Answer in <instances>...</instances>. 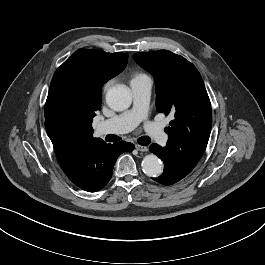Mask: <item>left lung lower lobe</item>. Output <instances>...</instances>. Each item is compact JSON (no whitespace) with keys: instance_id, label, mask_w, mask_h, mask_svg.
<instances>
[{"instance_id":"1","label":"left lung lower lobe","mask_w":265,"mask_h":265,"mask_svg":"<svg viewBox=\"0 0 265 265\" xmlns=\"http://www.w3.org/2000/svg\"><path fill=\"white\" fill-rule=\"evenodd\" d=\"M149 149L164 162V171L162 175L157 178H152L156 182L169 186L189 174L182 170L172 159H170L168 152L161 146L152 144Z\"/></svg>"}]
</instances>
